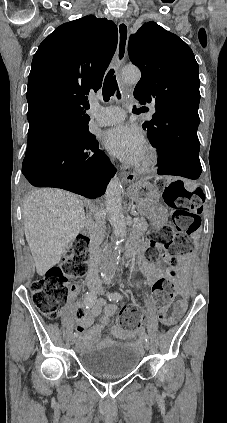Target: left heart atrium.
I'll return each mask as SVG.
<instances>
[{"label":"left heart atrium","instance_id":"left-heart-atrium-1","mask_svg":"<svg viewBox=\"0 0 227 423\" xmlns=\"http://www.w3.org/2000/svg\"><path fill=\"white\" fill-rule=\"evenodd\" d=\"M102 141L111 154L131 165L141 163L147 151L143 132L131 126H119L104 132Z\"/></svg>","mask_w":227,"mask_h":423}]
</instances>
